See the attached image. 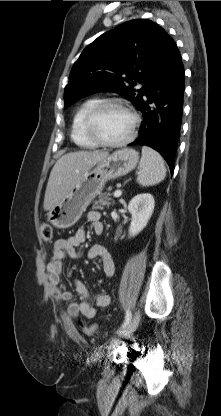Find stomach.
Wrapping results in <instances>:
<instances>
[{"mask_svg": "<svg viewBox=\"0 0 221 416\" xmlns=\"http://www.w3.org/2000/svg\"><path fill=\"white\" fill-rule=\"evenodd\" d=\"M138 160V152L131 148L108 155L81 175L69 193L49 211L48 221L59 229L73 226L91 201L101 194L105 183L133 170Z\"/></svg>", "mask_w": 221, "mask_h": 416, "instance_id": "stomach-1", "label": "stomach"}]
</instances>
